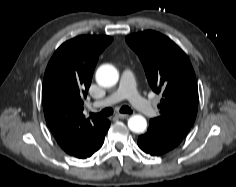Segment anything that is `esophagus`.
<instances>
[{
    "instance_id": "obj_1",
    "label": "esophagus",
    "mask_w": 236,
    "mask_h": 187,
    "mask_svg": "<svg viewBox=\"0 0 236 187\" xmlns=\"http://www.w3.org/2000/svg\"><path fill=\"white\" fill-rule=\"evenodd\" d=\"M115 117L124 119V118H128L129 115H128V114H120V113H119V114H116Z\"/></svg>"
}]
</instances>
